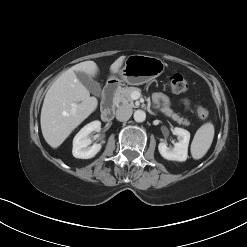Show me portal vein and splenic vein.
Listing matches in <instances>:
<instances>
[{"instance_id":"18ae733b","label":"portal vein and splenic vein","mask_w":247,"mask_h":247,"mask_svg":"<svg viewBox=\"0 0 247 247\" xmlns=\"http://www.w3.org/2000/svg\"><path fill=\"white\" fill-rule=\"evenodd\" d=\"M73 106H74V107H76L77 105H76V104H74Z\"/></svg>"}]
</instances>
